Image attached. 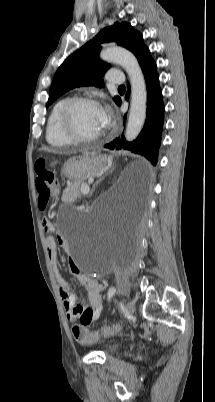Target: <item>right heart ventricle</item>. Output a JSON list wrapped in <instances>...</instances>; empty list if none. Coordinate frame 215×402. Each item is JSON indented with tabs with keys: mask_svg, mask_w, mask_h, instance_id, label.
<instances>
[{
	"mask_svg": "<svg viewBox=\"0 0 215 402\" xmlns=\"http://www.w3.org/2000/svg\"><path fill=\"white\" fill-rule=\"evenodd\" d=\"M68 99L70 98L64 97L56 101L48 115L45 134L47 142L53 147H66L72 144V141L64 136L59 127V113Z\"/></svg>",
	"mask_w": 215,
	"mask_h": 402,
	"instance_id": "1",
	"label": "right heart ventricle"
}]
</instances>
